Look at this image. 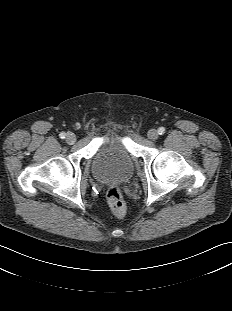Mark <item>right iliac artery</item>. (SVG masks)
<instances>
[{
    "instance_id": "obj_1",
    "label": "right iliac artery",
    "mask_w": 232,
    "mask_h": 311,
    "mask_svg": "<svg viewBox=\"0 0 232 311\" xmlns=\"http://www.w3.org/2000/svg\"><path fill=\"white\" fill-rule=\"evenodd\" d=\"M59 136H60L61 139H64L66 137V134L64 132H62V133L59 134Z\"/></svg>"
}]
</instances>
